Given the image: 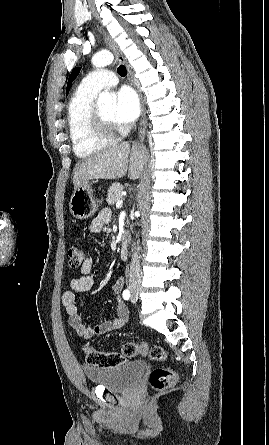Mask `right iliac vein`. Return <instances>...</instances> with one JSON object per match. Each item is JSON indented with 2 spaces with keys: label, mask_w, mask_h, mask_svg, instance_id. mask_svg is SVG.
Listing matches in <instances>:
<instances>
[{
  "label": "right iliac vein",
  "mask_w": 269,
  "mask_h": 445,
  "mask_svg": "<svg viewBox=\"0 0 269 445\" xmlns=\"http://www.w3.org/2000/svg\"><path fill=\"white\" fill-rule=\"evenodd\" d=\"M132 294L137 295L138 294V290L136 288L132 289Z\"/></svg>",
  "instance_id": "1"
}]
</instances>
